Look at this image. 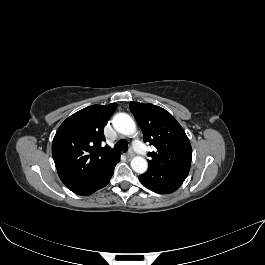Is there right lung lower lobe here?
<instances>
[{
  "instance_id": "98d812e1",
  "label": "right lung lower lobe",
  "mask_w": 265,
  "mask_h": 265,
  "mask_svg": "<svg viewBox=\"0 0 265 265\" xmlns=\"http://www.w3.org/2000/svg\"><path fill=\"white\" fill-rule=\"evenodd\" d=\"M119 160L120 157L111 161L109 165L106 168L102 169L98 174L70 190L78 195L87 196L105 187L109 183L110 178L113 175L114 168Z\"/></svg>"
}]
</instances>
